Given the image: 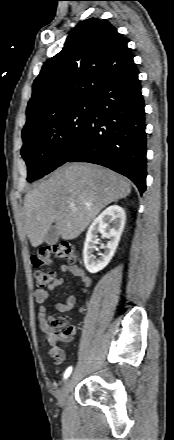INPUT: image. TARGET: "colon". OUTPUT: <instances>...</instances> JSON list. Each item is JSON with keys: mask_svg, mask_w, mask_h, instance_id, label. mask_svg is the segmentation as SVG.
Returning <instances> with one entry per match:
<instances>
[{"mask_svg": "<svg viewBox=\"0 0 174 440\" xmlns=\"http://www.w3.org/2000/svg\"><path fill=\"white\" fill-rule=\"evenodd\" d=\"M63 259L74 262L77 259V253L74 247L66 242L46 245L39 248L31 257L32 263L36 268L48 266L53 259ZM55 279L53 271L37 269L35 271L36 284L40 288L48 287ZM52 331L48 339L51 343H67L72 337V328L62 317H54L50 320Z\"/></svg>", "mask_w": 174, "mask_h": 440, "instance_id": "1", "label": "colon"}]
</instances>
